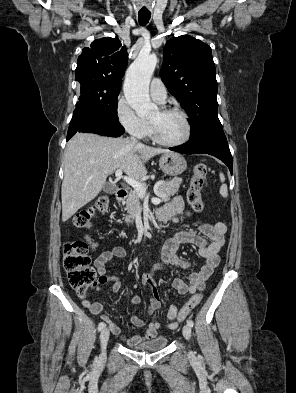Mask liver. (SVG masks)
I'll list each match as a JSON object with an SVG mask.
<instances>
[{
	"label": "liver",
	"instance_id": "obj_1",
	"mask_svg": "<svg viewBox=\"0 0 296 393\" xmlns=\"http://www.w3.org/2000/svg\"><path fill=\"white\" fill-rule=\"evenodd\" d=\"M167 149L133 144L128 138L103 137L77 133L68 142L64 154V179L61 188L62 221L101 192L108 175L122 169L135 180L147 175L146 162Z\"/></svg>",
	"mask_w": 296,
	"mask_h": 393
}]
</instances>
